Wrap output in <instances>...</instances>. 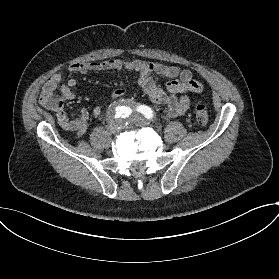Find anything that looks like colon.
<instances>
[{
  "label": "colon",
  "instance_id": "colon-1",
  "mask_svg": "<svg viewBox=\"0 0 279 279\" xmlns=\"http://www.w3.org/2000/svg\"><path fill=\"white\" fill-rule=\"evenodd\" d=\"M195 120H196V123L201 127H204L207 125L208 120H209V113H208L207 107L204 104L197 105L196 111H195Z\"/></svg>",
  "mask_w": 279,
  "mask_h": 279
}]
</instances>
